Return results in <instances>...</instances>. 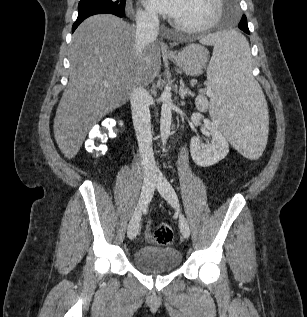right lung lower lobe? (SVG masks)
I'll return each mask as SVG.
<instances>
[{
  "instance_id": "right-lung-lower-lobe-1",
  "label": "right lung lower lobe",
  "mask_w": 307,
  "mask_h": 317,
  "mask_svg": "<svg viewBox=\"0 0 307 317\" xmlns=\"http://www.w3.org/2000/svg\"><path fill=\"white\" fill-rule=\"evenodd\" d=\"M112 14L110 12L107 11H103V10H92V11H88V12H84V13H80L78 14L77 20L76 22L73 24L72 27V32H74V30L78 27V25L85 20L86 18L92 16V15H96V14ZM119 17H123L125 15V12L121 13V14H113Z\"/></svg>"
}]
</instances>
